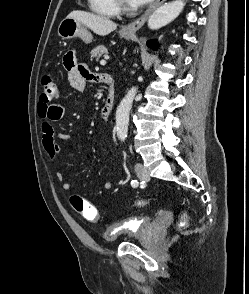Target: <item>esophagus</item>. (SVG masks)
Returning <instances> with one entry per match:
<instances>
[{"label":"esophagus","mask_w":249,"mask_h":294,"mask_svg":"<svg viewBox=\"0 0 249 294\" xmlns=\"http://www.w3.org/2000/svg\"><path fill=\"white\" fill-rule=\"evenodd\" d=\"M165 1L166 0H156L154 4H152L140 18L122 27V31L128 34L136 33L144 25L154 10Z\"/></svg>","instance_id":"obj_1"}]
</instances>
